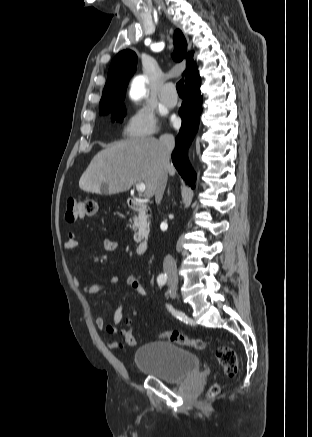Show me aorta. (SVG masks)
I'll list each match as a JSON object with an SVG mask.
<instances>
[{
  "label": "aorta",
  "instance_id": "1",
  "mask_svg": "<svg viewBox=\"0 0 312 437\" xmlns=\"http://www.w3.org/2000/svg\"><path fill=\"white\" fill-rule=\"evenodd\" d=\"M145 78L143 76L137 77L132 84L130 95L133 99L140 98L143 94H145Z\"/></svg>",
  "mask_w": 312,
  "mask_h": 437
}]
</instances>
